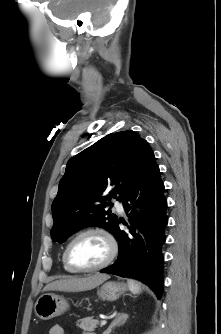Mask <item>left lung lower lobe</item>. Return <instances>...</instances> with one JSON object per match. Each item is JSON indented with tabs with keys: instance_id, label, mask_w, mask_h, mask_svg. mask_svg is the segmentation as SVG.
<instances>
[{
	"instance_id": "0a47b994",
	"label": "left lung lower lobe",
	"mask_w": 221,
	"mask_h": 334,
	"mask_svg": "<svg viewBox=\"0 0 221 334\" xmlns=\"http://www.w3.org/2000/svg\"><path fill=\"white\" fill-rule=\"evenodd\" d=\"M163 193L164 184L154 158L122 199L129 217V233L121 231L117 221L112 234L119 244L118 259L100 271L143 281L158 298L164 283L162 246L168 224Z\"/></svg>"
}]
</instances>
